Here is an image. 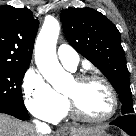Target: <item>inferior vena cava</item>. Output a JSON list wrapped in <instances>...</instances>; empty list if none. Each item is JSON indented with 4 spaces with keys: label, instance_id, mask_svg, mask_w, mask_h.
Listing matches in <instances>:
<instances>
[{
    "label": "inferior vena cava",
    "instance_id": "inferior-vena-cava-1",
    "mask_svg": "<svg viewBox=\"0 0 136 136\" xmlns=\"http://www.w3.org/2000/svg\"><path fill=\"white\" fill-rule=\"evenodd\" d=\"M34 123L36 125L37 131H41L42 132V131H46V130L49 129V126L46 123H42V122H40L38 120H35Z\"/></svg>",
    "mask_w": 136,
    "mask_h": 136
}]
</instances>
